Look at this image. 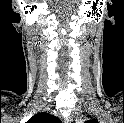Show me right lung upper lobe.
<instances>
[{"mask_svg": "<svg viewBox=\"0 0 124 123\" xmlns=\"http://www.w3.org/2000/svg\"><path fill=\"white\" fill-rule=\"evenodd\" d=\"M60 120L55 116L40 113L33 116L27 123H58Z\"/></svg>", "mask_w": 124, "mask_h": 123, "instance_id": "1", "label": "right lung upper lobe"}]
</instances>
